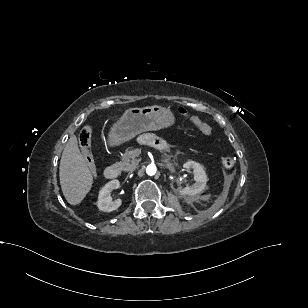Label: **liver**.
<instances>
[{
    "label": "liver",
    "instance_id": "liver-1",
    "mask_svg": "<svg viewBox=\"0 0 308 308\" xmlns=\"http://www.w3.org/2000/svg\"><path fill=\"white\" fill-rule=\"evenodd\" d=\"M59 177L64 197L71 205L79 204L92 187L93 176L78 148L75 135L69 138L63 150Z\"/></svg>",
    "mask_w": 308,
    "mask_h": 308
}]
</instances>
